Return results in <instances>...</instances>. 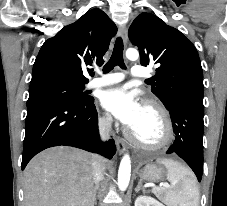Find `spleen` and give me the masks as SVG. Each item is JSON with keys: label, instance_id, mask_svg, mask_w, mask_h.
Segmentation results:
<instances>
[{"label": "spleen", "instance_id": "obj_1", "mask_svg": "<svg viewBox=\"0 0 227 206\" xmlns=\"http://www.w3.org/2000/svg\"><path fill=\"white\" fill-rule=\"evenodd\" d=\"M167 168L168 188L158 187L156 192L167 206H199V189L191 172L171 159H158Z\"/></svg>", "mask_w": 227, "mask_h": 206}]
</instances>
